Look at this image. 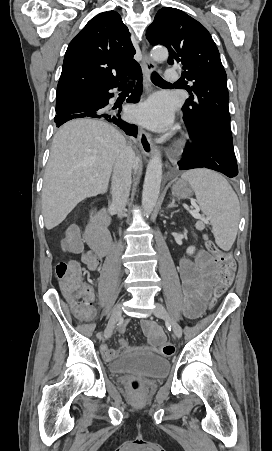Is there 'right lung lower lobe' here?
Listing matches in <instances>:
<instances>
[{
  "label": "right lung lower lobe",
  "instance_id": "obj_1",
  "mask_svg": "<svg viewBox=\"0 0 272 451\" xmlns=\"http://www.w3.org/2000/svg\"><path fill=\"white\" fill-rule=\"evenodd\" d=\"M141 75V68L139 66L131 74L127 75L123 80L112 87L84 90L57 99V115L54 118L57 127L72 119L90 117L113 123L121 128L127 135L137 137V126L123 121L120 114L110 112V110H107L106 106L109 103V99L114 96V94L109 91L115 87L123 89L128 78H136L138 79V83L131 96L127 99V102H138L141 93Z\"/></svg>",
  "mask_w": 272,
  "mask_h": 451
}]
</instances>
